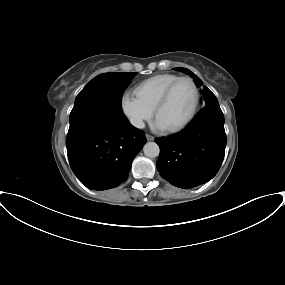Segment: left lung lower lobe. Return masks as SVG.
I'll use <instances>...</instances> for the list:
<instances>
[{"instance_id": "1", "label": "left lung lower lobe", "mask_w": 285, "mask_h": 285, "mask_svg": "<svg viewBox=\"0 0 285 285\" xmlns=\"http://www.w3.org/2000/svg\"><path fill=\"white\" fill-rule=\"evenodd\" d=\"M160 147L156 166L172 185L189 189L218 172L225 154L226 134L221 110L198 113L179 134L155 139Z\"/></svg>"}]
</instances>
